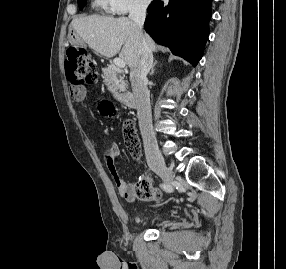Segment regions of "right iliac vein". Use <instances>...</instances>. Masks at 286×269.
I'll return each instance as SVG.
<instances>
[{
    "mask_svg": "<svg viewBox=\"0 0 286 269\" xmlns=\"http://www.w3.org/2000/svg\"><path fill=\"white\" fill-rule=\"evenodd\" d=\"M155 172L162 178V180L168 184L172 185L174 181V175L172 171L163 163L158 168L155 169Z\"/></svg>",
    "mask_w": 286,
    "mask_h": 269,
    "instance_id": "63e3f726",
    "label": "right iliac vein"
}]
</instances>
